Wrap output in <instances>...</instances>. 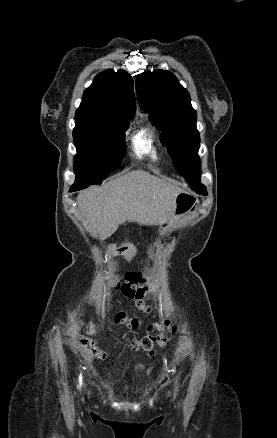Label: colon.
I'll return each mask as SVG.
<instances>
[{
  "label": "colon",
  "instance_id": "obj_1",
  "mask_svg": "<svg viewBox=\"0 0 277 438\" xmlns=\"http://www.w3.org/2000/svg\"><path fill=\"white\" fill-rule=\"evenodd\" d=\"M115 282L116 289L131 300H137L136 307L139 311H150L151 307L145 300L147 291L150 289L147 277L142 273L130 272L109 276ZM88 304L93 306L95 300L90 298ZM117 325L128 327L133 325V317L127 313H120L116 318ZM90 329L86 331L85 338L89 342H94L98 338L97 331L101 329L102 322L98 318H93L89 322ZM175 328L169 320L162 323L152 324L148 327L144 336L131 338V345L135 349L142 348L146 352H152L155 347H161L166 343L167 334Z\"/></svg>",
  "mask_w": 277,
  "mask_h": 438
}]
</instances>
